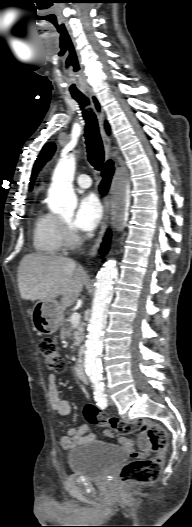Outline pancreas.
I'll use <instances>...</instances> for the list:
<instances>
[{
  "label": "pancreas",
  "mask_w": 192,
  "mask_h": 527,
  "mask_svg": "<svg viewBox=\"0 0 192 527\" xmlns=\"http://www.w3.org/2000/svg\"><path fill=\"white\" fill-rule=\"evenodd\" d=\"M61 334L64 338H71L74 340V344L79 346L84 339V328L81 324L75 328L72 326L70 318L64 319L61 322Z\"/></svg>",
  "instance_id": "1"
}]
</instances>
